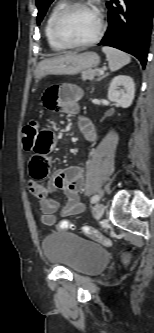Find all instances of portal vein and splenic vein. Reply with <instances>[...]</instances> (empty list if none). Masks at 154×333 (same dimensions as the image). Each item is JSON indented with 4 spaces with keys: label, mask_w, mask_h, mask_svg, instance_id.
Listing matches in <instances>:
<instances>
[{
    "label": "portal vein and splenic vein",
    "mask_w": 154,
    "mask_h": 333,
    "mask_svg": "<svg viewBox=\"0 0 154 333\" xmlns=\"http://www.w3.org/2000/svg\"><path fill=\"white\" fill-rule=\"evenodd\" d=\"M99 74H100V75H103V74H104V70H100V71H99Z\"/></svg>",
    "instance_id": "1"
}]
</instances>
